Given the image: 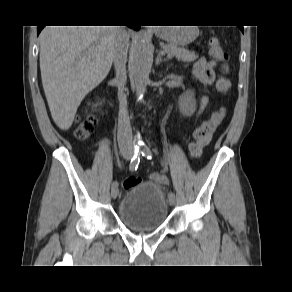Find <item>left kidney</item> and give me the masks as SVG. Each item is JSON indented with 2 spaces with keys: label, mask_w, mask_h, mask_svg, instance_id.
<instances>
[{
  "label": "left kidney",
  "mask_w": 292,
  "mask_h": 292,
  "mask_svg": "<svg viewBox=\"0 0 292 292\" xmlns=\"http://www.w3.org/2000/svg\"><path fill=\"white\" fill-rule=\"evenodd\" d=\"M179 109L185 116L193 113L195 109V98L192 91H186L179 97Z\"/></svg>",
  "instance_id": "5707ae66"
}]
</instances>
